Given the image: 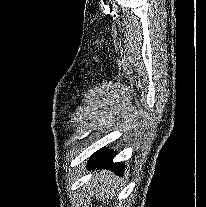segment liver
Instances as JSON below:
<instances>
[{
  "label": "liver",
  "mask_w": 206,
  "mask_h": 207,
  "mask_svg": "<svg viewBox=\"0 0 206 207\" xmlns=\"http://www.w3.org/2000/svg\"><path fill=\"white\" fill-rule=\"evenodd\" d=\"M120 180L108 170H98L86 185L89 195L97 201L107 204L119 190Z\"/></svg>",
  "instance_id": "obj_1"
}]
</instances>
